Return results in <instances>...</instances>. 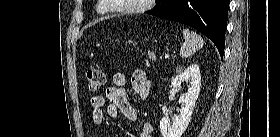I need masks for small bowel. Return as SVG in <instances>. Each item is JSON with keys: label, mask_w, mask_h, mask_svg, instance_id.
<instances>
[{"label": "small bowel", "mask_w": 280, "mask_h": 137, "mask_svg": "<svg viewBox=\"0 0 280 137\" xmlns=\"http://www.w3.org/2000/svg\"><path fill=\"white\" fill-rule=\"evenodd\" d=\"M113 84L106 88L104 96L95 95L90 98V119L95 125L102 123L104 113L102 107L107 105V114L111 119L124 115L131 120L138 118L135 109L129 102L127 93V79L124 73L117 72L113 75ZM130 85L132 91L140 98H145L152 86L151 80L141 70H136L131 75ZM152 125L150 122L141 123L140 137H152Z\"/></svg>", "instance_id": "obj_1"}]
</instances>
